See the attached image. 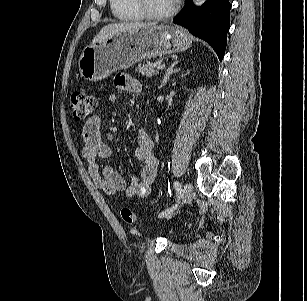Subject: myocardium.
Listing matches in <instances>:
<instances>
[{
  "label": "myocardium",
  "instance_id": "obj_1",
  "mask_svg": "<svg viewBox=\"0 0 307 301\" xmlns=\"http://www.w3.org/2000/svg\"><path fill=\"white\" fill-rule=\"evenodd\" d=\"M135 6L139 10V12L146 18L150 20H164L172 17L179 9V0H175L174 5L171 9L164 13H154L152 12L146 0H134Z\"/></svg>",
  "mask_w": 307,
  "mask_h": 301
}]
</instances>
